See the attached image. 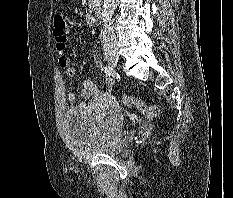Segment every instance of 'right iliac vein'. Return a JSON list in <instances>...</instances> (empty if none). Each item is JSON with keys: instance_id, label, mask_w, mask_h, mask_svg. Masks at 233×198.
<instances>
[{"instance_id": "right-iliac-vein-1", "label": "right iliac vein", "mask_w": 233, "mask_h": 198, "mask_svg": "<svg viewBox=\"0 0 233 198\" xmlns=\"http://www.w3.org/2000/svg\"><path fill=\"white\" fill-rule=\"evenodd\" d=\"M107 59H108L109 63L113 67H115L118 64L119 56H118L117 52L110 51V52L107 53Z\"/></svg>"}]
</instances>
